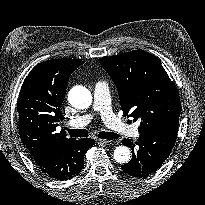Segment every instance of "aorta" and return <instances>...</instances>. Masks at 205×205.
<instances>
[{
	"label": "aorta",
	"instance_id": "1",
	"mask_svg": "<svg viewBox=\"0 0 205 205\" xmlns=\"http://www.w3.org/2000/svg\"><path fill=\"white\" fill-rule=\"evenodd\" d=\"M68 101L76 109H87L92 104V95L86 87L77 85L70 89ZM130 156V150L126 146L116 147L113 153L115 161L120 164L128 163Z\"/></svg>",
	"mask_w": 205,
	"mask_h": 205
}]
</instances>
